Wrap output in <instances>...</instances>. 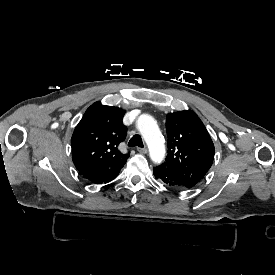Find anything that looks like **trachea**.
Segmentation results:
<instances>
[{
	"label": "trachea",
	"mask_w": 275,
	"mask_h": 275,
	"mask_svg": "<svg viewBox=\"0 0 275 275\" xmlns=\"http://www.w3.org/2000/svg\"><path fill=\"white\" fill-rule=\"evenodd\" d=\"M128 146L129 147H135V146H138V147H141L143 148V141L141 139V136L140 135H134L130 141L128 142Z\"/></svg>",
	"instance_id": "obj_1"
}]
</instances>
